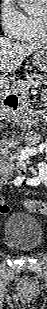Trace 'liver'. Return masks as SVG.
Segmentation results:
<instances>
[{
	"label": "liver",
	"instance_id": "liver-1",
	"mask_svg": "<svg viewBox=\"0 0 47 309\" xmlns=\"http://www.w3.org/2000/svg\"><path fill=\"white\" fill-rule=\"evenodd\" d=\"M39 48L41 45L36 43H21L8 38H0L1 72L16 71L22 62Z\"/></svg>",
	"mask_w": 47,
	"mask_h": 309
}]
</instances>
